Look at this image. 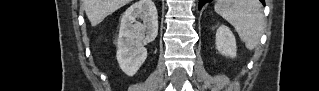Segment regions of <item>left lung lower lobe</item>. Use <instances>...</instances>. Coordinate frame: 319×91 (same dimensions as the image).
Masks as SVG:
<instances>
[{
    "instance_id": "left-lung-lower-lobe-1",
    "label": "left lung lower lobe",
    "mask_w": 319,
    "mask_h": 91,
    "mask_svg": "<svg viewBox=\"0 0 319 91\" xmlns=\"http://www.w3.org/2000/svg\"><path fill=\"white\" fill-rule=\"evenodd\" d=\"M208 0H199V9H201L203 7V5L205 4V2H207ZM211 1V0H210ZM263 4H265V0H260Z\"/></svg>"
}]
</instances>
